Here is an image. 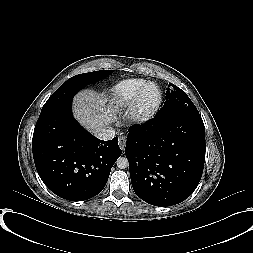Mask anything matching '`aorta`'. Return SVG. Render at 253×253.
Returning <instances> with one entry per match:
<instances>
[{
    "label": "aorta",
    "mask_w": 253,
    "mask_h": 253,
    "mask_svg": "<svg viewBox=\"0 0 253 253\" xmlns=\"http://www.w3.org/2000/svg\"><path fill=\"white\" fill-rule=\"evenodd\" d=\"M116 165L119 169H125L129 166L128 159L126 157H119L116 161Z\"/></svg>",
    "instance_id": "1"
}]
</instances>
